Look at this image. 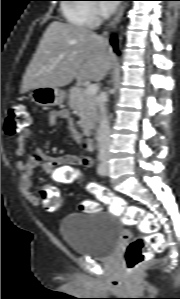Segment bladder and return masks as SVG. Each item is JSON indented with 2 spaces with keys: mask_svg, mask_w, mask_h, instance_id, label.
I'll list each match as a JSON object with an SVG mask.
<instances>
[{
  "mask_svg": "<svg viewBox=\"0 0 180 299\" xmlns=\"http://www.w3.org/2000/svg\"><path fill=\"white\" fill-rule=\"evenodd\" d=\"M59 230L75 254L97 260L112 256L123 234L118 219L109 211L69 214Z\"/></svg>",
  "mask_w": 180,
  "mask_h": 299,
  "instance_id": "31cf9c89",
  "label": "bladder"
}]
</instances>
